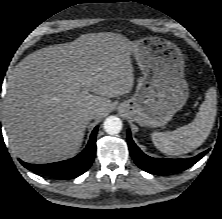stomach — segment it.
Segmentation results:
<instances>
[{"instance_id":"1","label":"stomach","mask_w":222,"mask_h":219,"mask_svg":"<svg viewBox=\"0 0 222 219\" xmlns=\"http://www.w3.org/2000/svg\"><path fill=\"white\" fill-rule=\"evenodd\" d=\"M134 44L132 54L143 76L135 94L118 109L140 125L164 126L188 99L183 55L164 38L146 37Z\"/></svg>"}]
</instances>
